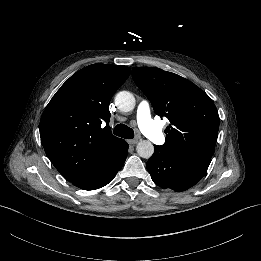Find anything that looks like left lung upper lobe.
Segmentation results:
<instances>
[{
    "label": "left lung upper lobe",
    "mask_w": 261,
    "mask_h": 261,
    "mask_svg": "<svg viewBox=\"0 0 261 261\" xmlns=\"http://www.w3.org/2000/svg\"><path fill=\"white\" fill-rule=\"evenodd\" d=\"M132 77L155 113L170 121L162 148L211 160L219 116L209 96L189 80L156 67H134Z\"/></svg>",
    "instance_id": "left-lung-upper-lobe-1"
}]
</instances>
